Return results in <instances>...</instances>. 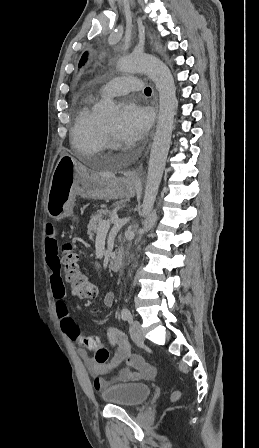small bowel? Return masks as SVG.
<instances>
[{"instance_id":"obj_1","label":"small bowel","mask_w":259,"mask_h":448,"mask_svg":"<svg viewBox=\"0 0 259 448\" xmlns=\"http://www.w3.org/2000/svg\"><path fill=\"white\" fill-rule=\"evenodd\" d=\"M45 257L46 264L51 271L50 283L52 293L55 298V311L60 321L61 329L67 336L81 343L83 338L78 326L69 314L68 305L66 303L65 287L60 275V259L58 255V241L55 237V230L52 225L46 228L45 238ZM115 296L108 293L104 302L107 307L114 305ZM107 338L112 346L116 347L115 354L111 361L105 364L97 363L91 357L85 348L79 347L78 354L84 361L89 373L94 377V387L96 390H104L111 382H127L148 380L155 376L156 369L138 355H132L125 336L117 329L111 328L107 332ZM126 361L123 367L111 380H106L103 376L116 368L121 362Z\"/></svg>"}]
</instances>
